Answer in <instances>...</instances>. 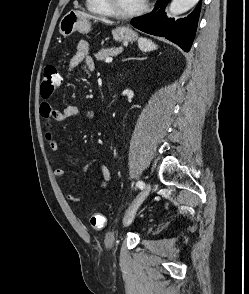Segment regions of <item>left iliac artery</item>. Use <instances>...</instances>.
I'll return each mask as SVG.
<instances>
[{
	"label": "left iliac artery",
	"instance_id": "44dca946",
	"mask_svg": "<svg viewBox=\"0 0 249 294\" xmlns=\"http://www.w3.org/2000/svg\"><path fill=\"white\" fill-rule=\"evenodd\" d=\"M136 186L139 188V189H144V187H145V184H144V182L143 181H138L137 183H136Z\"/></svg>",
	"mask_w": 249,
	"mask_h": 294
}]
</instances>
